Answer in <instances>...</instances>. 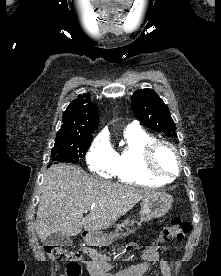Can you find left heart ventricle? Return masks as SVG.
I'll return each instance as SVG.
<instances>
[{
	"instance_id": "1",
	"label": "left heart ventricle",
	"mask_w": 221,
	"mask_h": 276,
	"mask_svg": "<svg viewBox=\"0 0 221 276\" xmlns=\"http://www.w3.org/2000/svg\"><path fill=\"white\" fill-rule=\"evenodd\" d=\"M156 164L160 170L166 173H174L177 170V161L173 152L166 146H161L156 153Z\"/></svg>"
}]
</instances>
